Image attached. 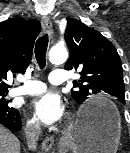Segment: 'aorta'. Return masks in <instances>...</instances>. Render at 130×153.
Masks as SVG:
<instances>
[{
    "instance_id": "aorta-1",
    "label": "aorta",
    "mask_w": 130,
    "mask_h": 153,
    "mask_svg": "<svg viewBox=\"0 0 130 153\" xmlns=\"http://www.w3.org/2000/svg\"><path fill=\"white\" fill-rule=\"evenodd\" d=\"M68 58V52L66 48L60 46H54L49 51V60L54 64H62L66 62Z\"/></svg>"
}]
</instances>
